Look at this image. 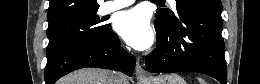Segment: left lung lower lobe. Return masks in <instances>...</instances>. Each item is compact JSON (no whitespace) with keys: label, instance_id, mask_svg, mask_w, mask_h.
Wrapping results in <instances>:
<instances>
[{"label":"left lung lower lobe","instance_id":"left-lung-lower-lobe-1","mask_svg":"<svg viewBox=\"0 0 260 84\" xmlns=\"http://www.w3.org/2000/svg\"><path fill=\"white\" fill-rule=\"evenodd\" d=\"M157 18V48L146 57L149 72H198L227 83L221 10L181 5L175 20Z\"/></svg>","mask_w":260,"mask_h":84}]
</instances>
